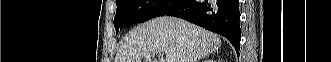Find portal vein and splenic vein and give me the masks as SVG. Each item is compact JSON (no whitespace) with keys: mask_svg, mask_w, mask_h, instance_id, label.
<instances>
[{"mask_svg":"<svg viewBox=\"0 0 331 62\" xmlns=\"http://www.w3.org/2000/svg\"><path fill=\"white\" fill-rule=\"evenodd\" d=\"M146 58L150 59V56L148 55ZM165 62H175V56L172 54H167Z\"/></svg>","mask_w":331,"mask_h":62,"instance_id":"1","label":"portal vein and splenic vein"}]
</instances>
